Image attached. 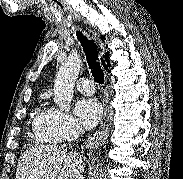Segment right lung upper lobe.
Returning a JSON list of instances; mask_svg holds the SVG:
<instances>
[{
	"label": "right lung upper lobe",
	"mask_w": 183,
	"mask_h": 179,
	"mask_svg": "<svg viewBox=\"0 0 183 179\" xmlns=\"http://www.w3.org/2000/svg\"><path fill=\"white\" fill-rule=\"evenodd\" d=\"M102 39H103V37H102ZM103 64H105L104 65L105 69H107V66H110V61H109V58H108V53L105 54V63L103 62Z\"/></svg>",
	"instance_id": "1"
}]
</instances>
